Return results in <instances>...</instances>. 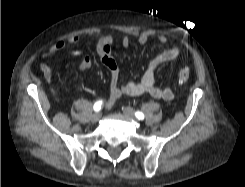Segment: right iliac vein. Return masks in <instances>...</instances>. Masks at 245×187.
Here are the masks:
<instances>
[{"mask_svg":"<svg viewBox=\"0 0 245 187\" xmlns=\"http://www.w3.org/2000/svg\"><path fill=\"white\" fill-rule=\"evenodd\" d=\"M101 118V113L100 112H96L91 116V122L92 123H97Z\"/></svg>","mask_w":245,"mask_h":187,"instance_id":"1","label":"right iliac vein"}]
</instances>
